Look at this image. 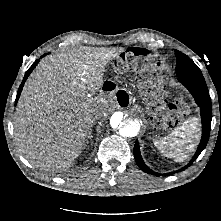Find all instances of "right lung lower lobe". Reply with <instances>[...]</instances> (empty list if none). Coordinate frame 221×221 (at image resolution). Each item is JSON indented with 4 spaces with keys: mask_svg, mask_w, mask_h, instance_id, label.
<instances>
[{
    "mask_svg": "<svg viewBox=\"0 0 221 221\" xmlns=\"http://www.w3.org/2000/svg\"><path fill=\"white\" fill-rule=\"evenodd\" d=\"M43 56H45V55H43ZM38 62H39V60H36V61L33 63V65L26 71L25 76H24V78H23V81H22V83H21V85H20V87H19L18 93H17L16 103H17V101H18V98H19V96H20V93H21V91H22V88H23V86H24L25 81L27 80L28 76L30 75V73L32 72V70L35 68V66L38 64Z\"/></svg>",
    "mask_w": 221,
    "mask_h": 221,
    "instance_id": "98d812e1",
    "label": "right lung lower lobe"
}]
</instances>
